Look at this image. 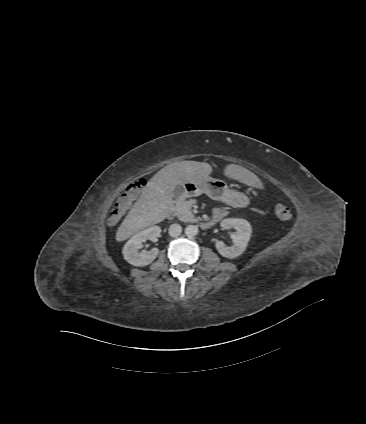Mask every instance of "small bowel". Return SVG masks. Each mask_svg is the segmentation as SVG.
<instances>
[{
    "label": "small bowel",
    "instance_id": "1",
    "mask_svg": "<svg viewBox=\"0 0 366 424\" xmlns=\"http://www.w3.org/2000/svg\"><path fill=\"white\" fill-rule=\"evenodd\" d=\"M227 212L225 209L216 207L213 211V219L215 221H220L226 216Z\"/></svg>",
    "mask_w": 366,
    "mask_h": 424
}]
</instances>
